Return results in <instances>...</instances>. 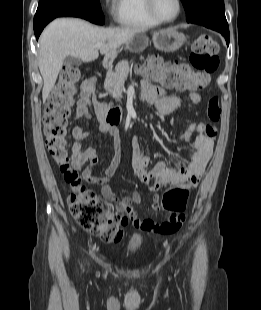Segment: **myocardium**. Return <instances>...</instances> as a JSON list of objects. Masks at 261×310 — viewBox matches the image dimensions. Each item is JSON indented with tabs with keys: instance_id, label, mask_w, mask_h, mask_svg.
I'll use <instances>...</instances> for the list:
<instances>
[{
	"instance_id": "obj_1",
	"label": "myocardium",
	"mask_w": 261,
	"mask_h": 310,
	"mask_svg": "<svg viewBox=\"0 0 261 310\" xmlns=\"http://www.w3.org/2000/svg\"><path fill=\"white\" fill-rule=\"evenodd\" d=\"M145 1H146V8H147V11H148L149 15L155 21H157L160 24H166V23L174 22L175 20L178 19L179 15L181 14V11H182V2H181V0H176V3H177V12H176V14L172 18H170V19H165V18L160 17L157 14V12L155 10V6H154V0H145Z\"/></svg>"
}]
</instances>
